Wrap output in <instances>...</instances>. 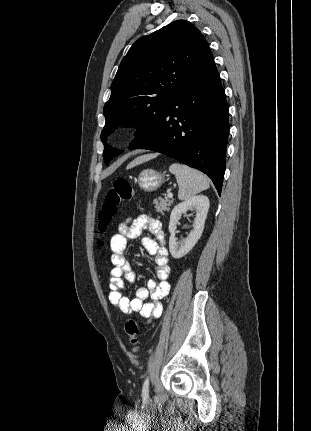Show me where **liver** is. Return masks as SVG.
Returning a JSON list of instances; mask_svg holds the SVG:
<instances>
[{"instance_id":"liver-1","label":"liver","mask_w":311,"mask_h":431,"mask_svg":"<svg viewBox=\"0 0 311 431\" xmlns=\"http://www.w3.org/2000/svg\"><path fill=\"white\" fill-rule=\"evenodd\" d=\"M143 162H148L147 156H139V158H135L133 162H130V164H128L127 170H129V168H134V166H139V164H143Z\"/></svg>"}]
</instances>
